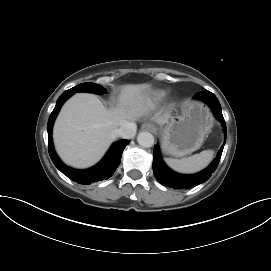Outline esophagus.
Here are the masks:
<instances>
[{
  "label": "esophagus",
  "instance_id": "34e87169",
  "mask_svg": "<svg viewBox=\"0 0 271 271\" xmlns=\"http://www.w3.org/2000/svg\"><path fill=\"white\" fill-rule=\"evenodd\" d=\"M141 129L142 130H145V131H150V132H153L155 130V127L153 124L151 123H144L142 126H141Z\"/></svg>",
  "mask_w": 271,
  "mask_h": 271
}]
</instances>
